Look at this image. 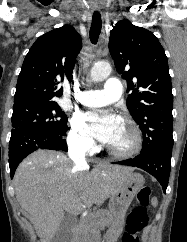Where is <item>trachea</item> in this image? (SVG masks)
I'll return each instance as SVG.
<instances>
[{
	"label": "trachea",
	"instance_id": "1",
	"mask_svg": "<svg viewBox=\"0 0 187 242\" xmlns=\"http://www.w3.org/2000/svg\"><path fill=\"white\" fill-rule=\"evenodd\" d=\"M101 28H102V20H101V15L98 12H95L93 14V18H92V24L90 27V40L93 44H96L101 32Z\"/></svg>",
	"mask_w": 187,
	"mask_h": 242
}]
</instances>
